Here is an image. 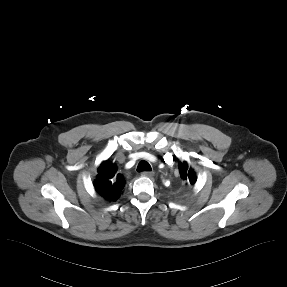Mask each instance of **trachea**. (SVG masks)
I'll return each mask as SVG.
<instances>
[{
    "mask_svg": "<svg viewBox=\"0 0 287 287\" xmlns=\"http://www.w3.org/2000/svg\"><path fill=\"white\" fill-rule=\"evenodd\" d=\"M152 168L150 164L147 161H141L139 165L137 166V171L138 172H143V171H151Z\"/></svg>",
    "mask_w": 287,
    "mask_h": 287,
    "instance_id": "obj_1",
    "label": "trachea"
}]
</instances>
